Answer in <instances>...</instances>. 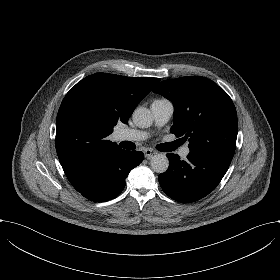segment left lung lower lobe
Returning <instances> with one entry per match:
<instances>
[{
    "label": "left lung lower lobe",
    "instance_id": "obj_1",
    "mask_svg": "<svg viewBox=\"0 0 280 280\" xmlns=\"http://www.w3.org/2000/svg\"><path fill=\"white\" fill-rule=\"evenodd\" d=\"M169 168L158 176L163 191L172 199L191 203L208 195L221 181L231 160L190 152L187 160L167 154Z\"/></svg>",
    "mask_w": 280,
    "mask_h": 280
}]
</instances>
